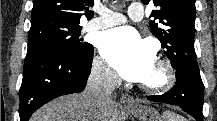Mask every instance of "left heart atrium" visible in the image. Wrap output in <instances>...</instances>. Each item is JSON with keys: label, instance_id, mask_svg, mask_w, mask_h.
Segmentation results:
<instances>
[{"label": "left heart atrium", "instance_id": "1", "mask_svg": "<svg viewBox=\"0 0 217 121\" xmlns=\"http://www.w3.org/2000/svg\"><path fill=\"white\" fill-rule=\"evenodd\" d=\"M100 52L109 65L124 79L144 81L154 66V51L139 34L126 27L105 32Z\"/></svg>", "mask_w": 217, "mask_h": 121}]
</instances>
